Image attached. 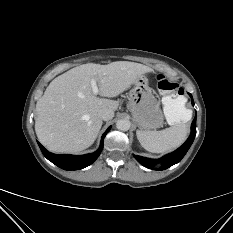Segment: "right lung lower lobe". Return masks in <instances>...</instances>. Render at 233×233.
Returning a JSON list of instances; mask_svg holds the SVG:
<instances>
[{
	"label": "right lung lower lobe",
	"instance_id": "1",
	"mask_svg": "<svg viewBox=\"0 0 233 233\" xmlns=\"http://www.w3.org/2000/svg\"><path fill=\"white\" fill-rule=\"evenodd\" d=\"M110 128L111 127H109L102 135L100 148L96 152L87 155H57L48 152L39 142L38 145L43 155L53 164L57 165L58 167L64 170H79L91 165L99 157L103 148L104 137L109 132Z\"/></svg>",
	"mask_w": 233,
	"mask_h": 233
}]
</instances>
